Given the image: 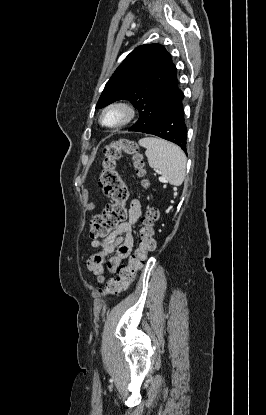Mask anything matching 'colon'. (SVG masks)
I'll return each mask as SVG.
<instances>
[{"mask_svg": "<svg viewBox=\"0 0 266 415\" xmlns=\"http://www.w3.org/2000/svg\"><path fill=\"white\" fill-rule=\"evenodd\" d=\"M123 153L131 157L136 174L144 175L142 155L136 142L123 138L105 146L99 185L104 194L110 198L111 203L106 206L102 214L96 215L91 220L90 235L95 239L107 238L127 217L125 205L128 189L117 170V161ZM143 185L146 186L147 182L143 181ZM157 219L158 211L155 208H148L142 218L138 247L130 256L128 264L121 266L117 276L110 279L100 290L102 295L120 294L136 280L137 273L144 265L148 253L155 248L154 223Z\"/></svg>", "mask_w": 266, "mask_h": 415, "instance_id": "1", "label": "colon"}]
</instances>
